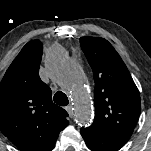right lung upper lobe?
<instances>
[{"label": "right lung upper lobe", "instance_id": "right-lung-upper-lobe-1", "mask_svg": "<svg viewBox=\"0 0 151 151\" xmlns=\"http://www.w3.org/2000/svg\"><path fill=\"white\" fill-rule=\"evenodd\" d=\"M42 51L39 40L28 42L0 83V130L20 151H51L69 124L39 77Z\"/></svg>", "mask_w": 151, "mask_h": 151}]
</instances>
